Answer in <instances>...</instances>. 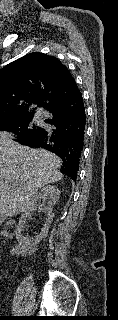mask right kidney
I'll return each mask as SVG.
<instances>
[{
    "label": "right kidney",
    "mask_w": 118,
    "mask_h": 320,
    "mask_svg": "<svg viewBox=\"0 0 118 320\" xmlns=\"http://www.w3.org/2000/svg\"><path fill=\"white\" fill-rule=\"evenodd\" d=\"M60 191L55 185H46L31 198L28 207L21 215L19 223L15 229V236L19 242V251L25 254H32L35 251V246L48 234L50 224L53 221L54 213L53 206L59 199ZM43 201L40 203V201ZM34 211L45 213L46 221L41 229V232L34 237H24L22 231L26 221L31 219Z\"/></svg>",
    "instance_id": "obj_1"
}]
</instances>
